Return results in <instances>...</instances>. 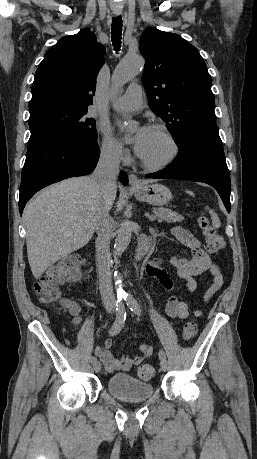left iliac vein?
<instances>
[{
  "mask_svg": "<svg viewBox=\"0 0 257 459\" xmlns=\"http://www.w3.org/2000/svg\"><path fill=\"white\" fill-rule=\"evenodd\" d=\"M160 368H161L162 371H166L167 370V361H166V359L160 360Z\"/></svg>",
  "mask_w": 257,
  "mask_h": 459,
  "instance_id": "1",
  "label": "left iliac vein"
}]
</instances>
